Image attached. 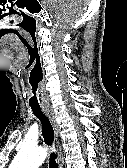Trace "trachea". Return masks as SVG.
<instances>
[{"label": "trachea", "mask_w": 127, "mask_h": 168, "mask_svg": "<svg viewBox=\"0 0 127 168\" xmlns=\"http://www.w3.org/2000/svg\"><path fill=\"white\" fill-rule=\"evenodd\" d=\"M33 114L40 120L42 126V135L44 141L47 145H52L54 140V130L51 122L48 117L43 114L40 106H31ZM56 155L55 153L50 154L49 168H58V164L55 161Z\"/></svg>", "instance_id": "3493384b"}]
</instances>
